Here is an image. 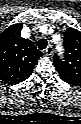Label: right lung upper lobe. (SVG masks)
I'll return each instance as SVG.
<instances>
[{"label": "right lung upper lobe", "instance_id": "cb5924a9", "mask_svg": "<svg viewBox=\"0 0 81 124\" xmlns=\"http://www.w3.org/2000/svg\"><path fill=\"white\" fill-rule=\"evenodd\" d=\"M23 25L13 24L0 34V79L9 85L30 77L42 56L34 44L21 37Z\"/></svg>", "mask_w": 81, "mask_h": 124}]
</instances>
